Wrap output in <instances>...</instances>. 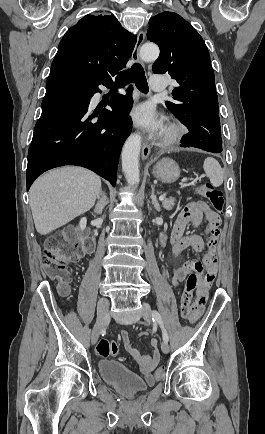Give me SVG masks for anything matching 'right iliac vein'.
I'll list each match as a JSON object with an SVG mask.
<instances>
[{"instance_id": "1", "label": "right iliac vein", "mask_w": 265, "mask_h": 434, "mask_svg": "<svg viewBox=\"0 0 265 434\" xmlns=\"http://www.w3.org/2000/svg\"><path fill=\"white\" fill-rule=\"evenodd\" d=\"M108 308V299L100 298L97 305V320L91 333L92 344H96L98 342L99 335L106 325Z\"/></svg>"}]
</instances>
